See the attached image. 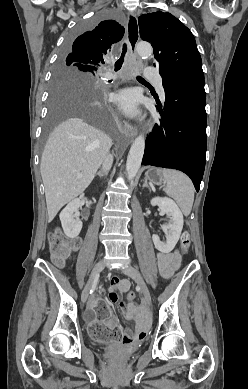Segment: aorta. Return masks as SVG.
Returning a JSON list of instances; mask_svg holds the SVG:
<instances>
[{"label": "aorta", "mask_w": 248, "mask_h": 389, "mask_svg": "<svg viewBox=\"0 0 248 389\" xmlns=\"http://www.w3.org/2000/svg\"><path fill=\"white\" fill-rule=\"evenodd\" d=\"M137 53L142 58H148L152 54V47L149 43L140 42L136 47ZM145 149V139L139 135L132 143L126 162L127 177L133 179L140 169Z\"/></svg>", "instance_id": "1"}]
</instances>
